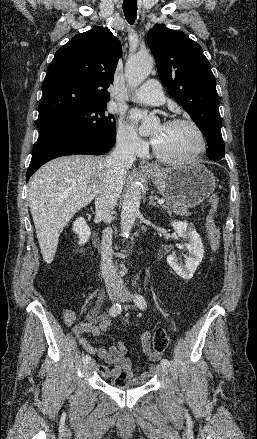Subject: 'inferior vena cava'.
Here are the masks:
<instances>
[{
    "mask_svg": "<svg viewBox=\"0 0 257 439\" xmlns=\"http://www.w3.org/2000/svg\"><path fill=\"white\" fill-rule=\"evenodd\" d=\"M135 160V146L128 141H119L114 151L105 158L106 174L95 196L96 215L106 223L112 220L111 212L122 191L126 169ZM101 269L107 288H122L123 282L116 273L112 262V231L105 229L102 234Z\"/></svg>",
    "mask_w": 257,
    "mask_h": 439,
    "instance_id": "602c4592",
    "label": "inferior vena cava"
}]
</instances>
